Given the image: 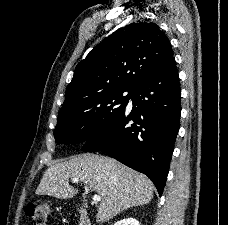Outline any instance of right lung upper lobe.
Wrapping results in <instances>:
<instances>
[{
  "instance_id": "right-lung-upper-lobe-1",
  "label": "right lung upper lobe",
  "mask_w": 228,
  "mask_h": 225,
  "mask_svg": "<svg viewBox=\"0 0 228 225\" xmlns=\"http://www.w3.org/2000/svg\"><path fill=\"white\" fill-rule=\"evenodd\" d=\"M171 58L170 41L157 24L119 28L78 63L63 105L113 86L134 89Z\"/></svg>"
}]
</instances>
